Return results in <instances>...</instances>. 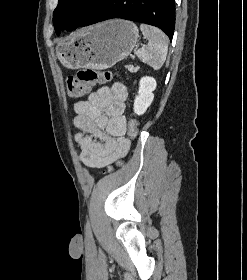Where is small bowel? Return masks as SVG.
<instances>
[{
	"mask_svg": "<svg viewBox=\"0 0 247 280\" xmlns=\"http://www.w3.org/2000/svg\"><path fill=\"white\" fill-rule=\"evenodd\" d=\"M128 89L122 82L103 86L86 100L74 105V125L80 131L76 141L81 161L92 168H103L125 156L130 142L125 137V101Z\"/></svg>",
	"mask_w": 247,
	"mask_h": 280,
	"instance_id": "1",
	"label": "small bowel"
}]
</instances>
